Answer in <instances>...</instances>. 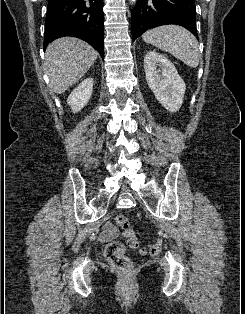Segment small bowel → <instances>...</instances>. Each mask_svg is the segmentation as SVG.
Masks as SVG:
<instances>
[{"label": "small bowel", "instance_id": "1", "mask_svg": "<svg viewBox=\"0 0 245 314\" xmlns=\"http://www.w3.org/2000/svg\"><path fill=\"white\" fill-rule=\"evenodd\" d=\"M118 234V228L111 222H107L103 227V231L100 233L99 239L101 242H109L115 239Z\"/></svg>", "mask_w": 245, "mask_h": 314}]
</instances>
